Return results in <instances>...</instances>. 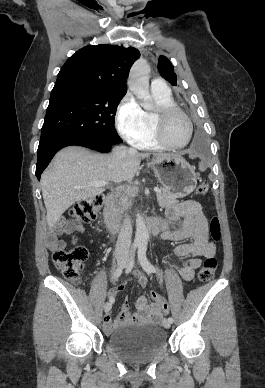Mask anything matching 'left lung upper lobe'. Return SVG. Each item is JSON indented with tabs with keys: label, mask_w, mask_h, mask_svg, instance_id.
<instances>
[{
	"label": "left lung upper lobe",
	"mask_w": 265,
	"mask_h": 388,
	"mask_svg": "<svg viewBox=\"0 0 265 388\" xmlns=\"http://www.w3.org/2000/svg\"><path fill=\"white\" fill-rule=\"evenodd\" d=\"M158 71L171 85H177V77L174 73L173 65L165 56L159 57Z\"/></svg>",
	"instance_id": "1"
}]
</instances>
